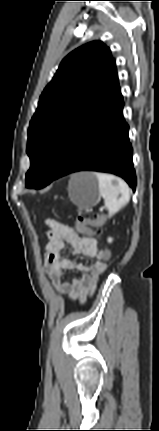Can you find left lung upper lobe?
<instances>
[{
  "label": "left lung upper lobe",
  "mask_w": 159,
  "mask_h": 431,
  "mask_svg": "<svg viewBox=\"0 0 159 431\" xmlns=\"http://www.w3.org/2000/svg\"><path fill=\"white\" fill-rule=\"evenodd\" d=\"M119 92L115 60L101 41L87 43L62 60L30 121L27 188L40 189L51 183L78 131Z\"/></svg>",
  "instance_id": "left-lung-upper-lobe-1"
}]
</instances>
